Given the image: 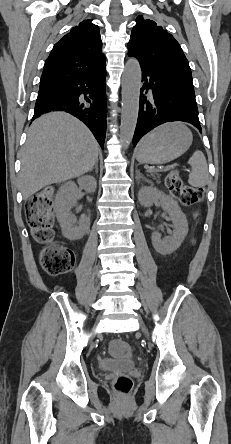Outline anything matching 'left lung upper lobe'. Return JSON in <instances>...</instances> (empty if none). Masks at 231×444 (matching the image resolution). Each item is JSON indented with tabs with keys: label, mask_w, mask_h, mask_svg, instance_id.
<instances>
[{
	"label": "left lung upper lobe",
	"mask_w": 231,
	"mask_h": 444,
	"mask_svg": "<svg viewBox=\"0 0 231 444\" xmlns=\"http://www.w3.org/2000/svg\"><path fill=\"white\" fill-rule=\"evenodd\" d=\"M129 56L135 57L141 68L169 73L184 84H192V73L179 43L154 21L138 16L128 43Z\"/></svg>",
	"instance_id": "obj_1"
}]
</instances>
